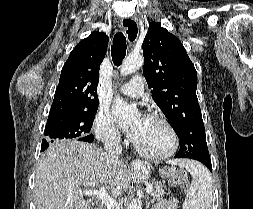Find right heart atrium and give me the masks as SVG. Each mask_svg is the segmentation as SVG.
Masks as SVG:
<instances>
[{
	"label": "right heart atrium",
	"instance_id": "d8ad5b80",
	"mask_svg": "<svg viewBox=\"0 0 253 209\" xmlns=\"http://www.w3.org/2000/svg\"><path fill=\"white\" fill-rule=\"evenodd\" d=\"M93 130L96 138L106 144L121 142V134L113 123L110 115L105 111H99L95 116Z\"/></svg>",
	"mask_w": 253,
	"mask_h": 209
}]
</instances>
